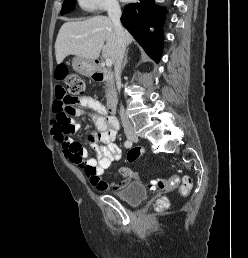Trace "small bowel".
Wrapping results in <instances>:
<instances>
[{"label":"small bowel","instance_id":"c3829d8e","mask_svg":"<svg viewBox=\"0 0 248 258\" xmlns=\"http://www.w3.org/2000/svg\"><path fill=\"white\" fill-rule=\"evenodd\" d=\"M66 92L62 85L58 83L56 85V97L59 98L65 95ZM77 103L81 107L73 108V115L78 117L85 115L84 108H89L94 111L90 113L89 117L98 131V135H90L88 137V143L95 149L97 157L96 159L89 158L88 153L78 143L74 142L69 134H63L59 132L58 125L53 124V134L55 139L60 143L64 156L74 165L83 167L84 169H93L95 176H90L92 185L100 191L121 190L130 181L136 179L137 175L127 167L120 169V174L124 177V180L108 184L102 179L103 173L111 166L115 161L121 159L122 152L118 145L115 143L117 132L119 129L118 120L113 116H108L103 104L90 95L81 97ZM73 130H78L80 125L76 121H71Z\"/></svg>","mask_w":248,"mask_h":258}]
</instances>
